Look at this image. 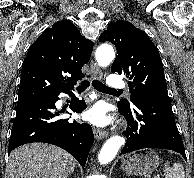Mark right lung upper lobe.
<instances>
[{
  "label": "right lung upper lobe",
  "instance_id": "1",
  "mask_svg": "<svg viewBox=\"0 0 194 178\" xmlns=\"http://www.w3.org/2000/svg\"><path fill=\"white\" fill-rule=\"evenodd\" d=\"M93 43L69 20L46 29L30 46L23 61L18 102L66 92L84 77ZM69 75L70 77H67Z\"/></svg>",
  "mask_w": 194,
  "mask_h": 178
}]
</instances>
